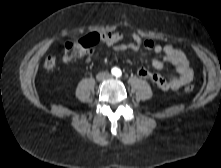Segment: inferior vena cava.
<instances>
[{
  "label": "inferior vena cava",
  "instance_id": "1",
  "mask_svg": "<svg viewBox=\"0 0 221 168\" xmlns=\"http://www.w3.org/2000/svg\"><path fill=\"white\" fill-rule=\"evenodd\" d=\"M107 77H109V73L108 72H100L96 76L97 80H103V79H105Z\"/></svg>",
  "mask_w": 221,
  "mask_h": 168
}]
</instances>
